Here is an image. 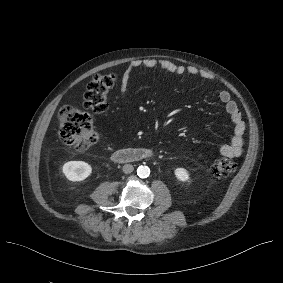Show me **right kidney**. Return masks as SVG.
Returning a JSON list of instances; mask_svg holds the SVG:
<instances>
[{"instance_id":"right-kidney-1","label":"right kidney","mask_w":283,"mask_h":283,"mask_svg":"<svg viewBox=\"0 0 283 283\" xmlns=\"http://www.w3.org/2000/svg\"><path fill=\"white\" fill-rule=\"evenodd\" d=\"M62 172L70 181H83L92 172L91 166L84 161H69L62 167Z\"/></svg>"}]
</instances>
